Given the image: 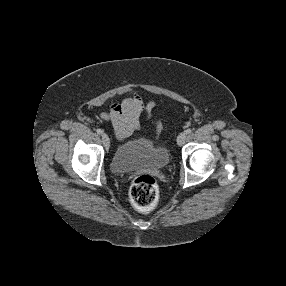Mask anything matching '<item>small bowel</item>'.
<instances>
[{
	"label": "small bowel",
	"mask_w": 286,
	"mask_h": 286,
	"mask_svg": "<svg viewBox=\"0 0 286 286\" xmlns=\"http://www.w3.org/2000/svg\"><path fill=\"white\" fill-rule=\"evenodd\" d=\"M154 105V101L145 102L138 95H133L113 103L103 118L111 124L118 139L126 140L142 128V117L149 116Z\"/></svg>",
	"instance_id": "small-bowel-1"
}]
</instances>
